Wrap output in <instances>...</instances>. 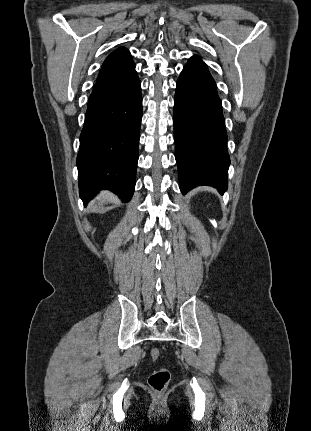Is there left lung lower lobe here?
I'll use <instances>...</instances> for the list:
<instances>
[{
	"label": "left lung lower lobe",
	"mask_w": 311,
	"mask_h": 431,
	"mask_svg": "<svg viewBox=\"0 0 311 431\" xmlns=\"http://www.w3.org/2000/svg\"><path fill=\"white\" fill-rule=\"evenodd\" d=\"M175 158L183 194L199 185L227 189L230 158L221 100L206 65L192 57L177 81L174 99Z\"/></svg>",
	"instance_id": "obj_1"
}]
</instances>
